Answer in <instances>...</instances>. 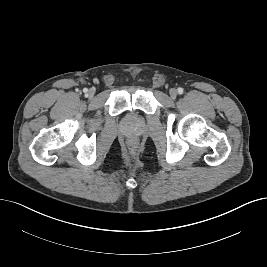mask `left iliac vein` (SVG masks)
<instances>
[{"instance_id":"obj_1","label":"left iliac vein","mask_w":267,"mask_h":267,"mask_svg":"<svg viewBox=\"0 0 267 267\" xmlns=\"http://www.w3.org/2000/svg\"><path fill=\"white\" fill-rule=\"evenodd\" d=\"M170 96H171L172 98H176V96H177V90H176V89H171V90H170Z\"/></svg>"}]
</instances>
